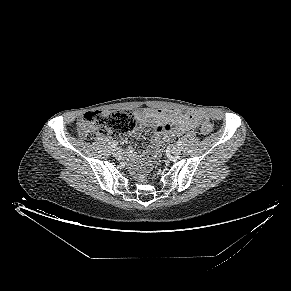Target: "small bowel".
<instances>
[{
	"mask_svg": "<svg viewBox=\"0 0 291 291\" xmlns=\"http://www.w3.org/2000/svg\"><path fill=\"white\" fill-rule=\"evenodd\" d=\"M204 119L203 115L194 111L144 109L142 111V124L153 127L159 140L151 143L148 150L140 156L133 149H129L130 158L135 162L149 164L159 155L162 146L173 136L197 127Z\"/></svg>",
	"mask_w": 291,
	"mask_h": 291,
	"instance_id": "1",
	"label": "small bowel"
}]
</instances>
